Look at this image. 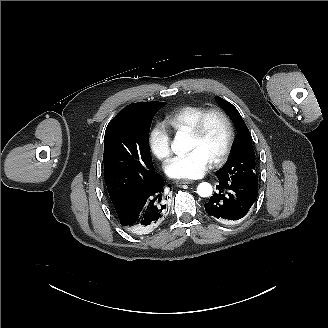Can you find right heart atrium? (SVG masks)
<instances>
[{
	"instance_id": "obj_1",
	"label": "right heart atrium",
	"mask_w": 328,
	"mask_h": 328,
	"mask_svg": "<svg viewBox=\"0 0 328 328\" xmlns=\"http://www.w3.org/2000/svg\"><path fill=\"white\" fill-rule=\"evenodd\" d=\"M148 147L158 159L165 160L172 154L171 135L162 121H155L148 132Z\"/></svg>"
}]
</instances>
